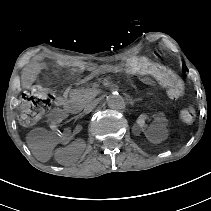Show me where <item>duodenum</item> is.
<instances>
[{"label":"duodenum","mask_w":211,"mask_h":211,"mask_svg":"<svg viewBox=\"0 0 211 211\" xmlns=\"http://www.w3.org/2000/svg\"><path fill=\"white\" fill-rule=\"evenodd\" d=\"M64 109L69 114H77L80 111V104L75 100H67L64 103Z\"/></svg>","instance_id":"obj_1"}]
</instances>
